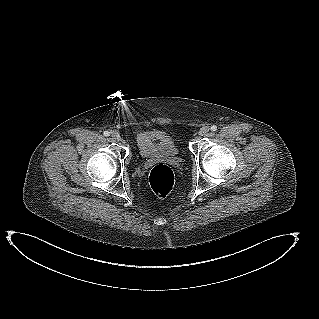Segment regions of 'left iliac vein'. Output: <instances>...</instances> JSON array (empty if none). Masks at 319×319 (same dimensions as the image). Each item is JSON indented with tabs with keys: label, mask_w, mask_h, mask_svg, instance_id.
Instances as JSON below:
<instances>
[{
	"label": "left iliac vein",
	"mask_w": 319,
	"mask_h": 319,
	"mask_svg": "<svg viewBox=\"0 0 319 319\" xmlns=\"http://www.w3.org/2000/svg\"><path fill=\"white\" fill-rule=\"evenodd\" d=\"M209 127L207 126H203L200 130H199V135L201 136H205L209 133Z\"/></svg>",
	"instance_id": "1"
}]
</instances>
